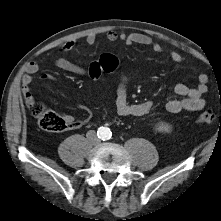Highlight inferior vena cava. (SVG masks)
Returning a JSON list of instances; mask_svg holds the SVG:
<instances>
[{
    "label": "inferior vena cava",
    "mask_w": 221,
    "mask_h": 221,
    "mask_svg": "<svg viewBox=\"0 0 221 221\" xmlns=\"http://www.w3.org/2000/svg\"><path fill=\"white\" fill-rule=\"evenodd\" d=\"M86 136H87V138H88L93 144H97V143H99V141H100V140L98 139V137H97L95 131H93V130L88 131Z\"/></svg>",
    "instance_id": "inferior-vena-cava-1"
}]
</instances>
